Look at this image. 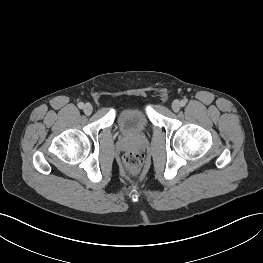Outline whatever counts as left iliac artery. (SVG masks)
<instances>
[{
  "mask_svg": "<svg viewBox=\"0 0 263 263\" xmlns=\"http://www.w3.org/2000/svg\"><path fill=\"white\" fill-rule=\"evenodd\" d=\"M181 106H185L186 105V103H187V99H183V100H181Z\"/></svg>",
  "mask_w": 263,
  "mask_h": 263,
  "instance_id": "1",
  "label": "left iliac artery"
}]
</instances>
